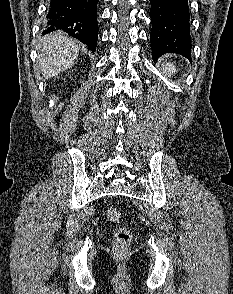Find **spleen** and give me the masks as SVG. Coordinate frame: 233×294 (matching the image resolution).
I'll use <instances>...</instances> for the list:
<instances>
[{"instance_id": "spleen-1", "label": "spleen", "mask_w": 233, "mask_h": 294, "mask_svg": "<svg viewBox=\"0 0 233 294\" xmlns=\"http://www.w3.org/2000/svg\"><path fill=\"white\" fill-rule=\"evenodd\" d=\"M163 70L170 75L176 72L175 66L171 63H168L167 66L163 68Z\"/></svg>"}]
</instances>
